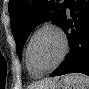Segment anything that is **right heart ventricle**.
I'll return each mask as SVG.
<instances>
[{
  "instance_id": "obj_1",
  "label": "right heart ventricle",
  "mask_w": 89,
  "mask_h": 89,
  "mask_svg": "<svg viewBox=\"0 0 89 89\" xmlns=\"http://www.w3.org/2000/svg\"><path fill=\"white\" fill-rule=\"evenodd\" d=\"M27 69H28V72H29V74L31 76H33V77H37L38 76V75L34 74L32 71H30V69L28 68V66H27Z\"/></svg>"
}]
</instances>
